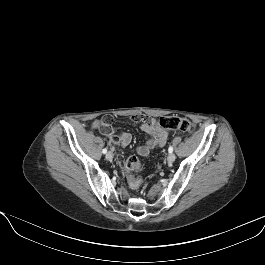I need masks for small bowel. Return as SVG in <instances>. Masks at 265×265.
Here are the masks:
<instances>
[{
    "label": "small bowel",
    "mask_w": 265,
    "mask_h": 265,
    "mask_svg": "<svg viewBox=\"0 0 265 265\" xmlns=\"http://www.w3.org/2000/svg\"><path fill=\"white\" fill-rule=\"evenodd\" d=\"M131 120L137 123L140 128L148 135V139L146 140L145 144L139 146L136 149V153L138 155L147 156L151 150L165 145L168 138V133L166 130L158 127L155 124V120L153 118L146 117L143 115H133L131 117ZM102 133L110 139V142L113 145H117L120 147H126L132 141L131 134L127 132L114 133L111 129L109 132ZM117 162L122 165L123 160L121 156L117 157Z\"/></svg>",
    "instance_id": "obj_1"
}]
</instances>
